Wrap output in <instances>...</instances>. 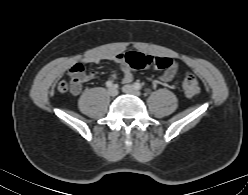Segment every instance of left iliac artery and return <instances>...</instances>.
<instances>
[{
  "mask_svg": "<svg viewBox=\"0 0 248 195\" xmlns=\"http://www.w3.org/2000/svg\"><path fill=\"white\" fill-rule=\"evenodd\" d=\"M133 86H134V88L137 89V90H140V89L142 88L141 84L138 83V82L134 83Z\"/></svg>",
  "mask_w": 248,
  "mask_h": 195,
  "instance_id": "1",
  "label": "left iliac artery"
}]
</instances>
